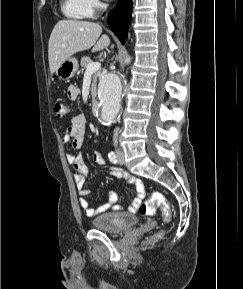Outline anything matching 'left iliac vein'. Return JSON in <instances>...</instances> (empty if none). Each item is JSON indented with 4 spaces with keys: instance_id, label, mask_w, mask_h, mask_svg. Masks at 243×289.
Segmentation results:
<instances>
[{
    "instance_id": "1",
    "label": "left iliac vein",
    "mask_w": 243,
    "mask_h": 289,
    "mask_svg": "<svg viewBox=\"0 0 243 289\" xmlns=\"http://www.w3.org/2000/svg\"><path fill=\"white\" fill-rule=\"evenodd\" d=\"M118 163L119 164H123L124 163V153L123 152H119L118 153Z\"/></svg>"
}]
</instances>
